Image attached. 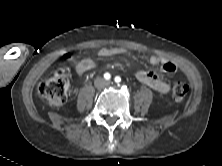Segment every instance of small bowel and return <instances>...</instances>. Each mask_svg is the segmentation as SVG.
Here are the masks:
<instances>
[{"mask_svg":"<svg viewBox=\"0 0 222 166\" xmlns=\"http://www.w3.org/2000/svg\"><path fill=\"white\" fill-rule=\"evenodd\" d=\"M98 55L101 57L110 56H127L129 53L123 48H101L98 51ZM149 62L153 66L160 65L159 72H150L143 69H138L135 72L136 78L143 84L149 86L153 90L159 93H167L170 90V85L164 80L165 74H172L176 71V66L173 62L166 58L153 54L149 58ZM95 67L93 59L86 57L78 60L74 65L76 74L83 75L87 71Z\"/></svg>","mask_w":222,"mask_h":166,"instance_id":"obj_1","label":"small bowel"}]
</instances>
